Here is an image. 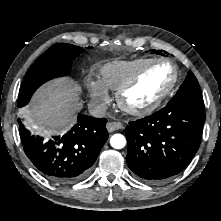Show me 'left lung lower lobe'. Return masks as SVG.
<instances>
[{
    "mask_svg": "<svg viewBox=\"0 0 221 221\" xmlns=\"http://www.w3.org/2000/svg\"><path fill=\"white\" fill-rule=\"evenodd\" d=\"M205 113L171 104L129 123L126 161L135 176L162 183L182 172L199 149Z\"/></svg>",
    "mask_w": 221,
    "mask_h": 221,
    "instance_id": "obj_1",
    "label": "left lung lower lobe"
}]
</instances>
